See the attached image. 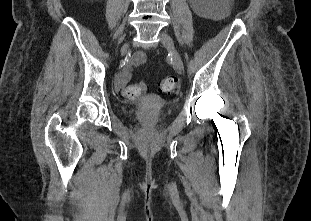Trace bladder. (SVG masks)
<instances>
[{
    "label": "bladder",
    "mask_w": 311,
    "mask_h": 221,
    "mask_svg": "<svg viewBox=\"0 0 311 221\" xmlns=\"http://www.w3.org/2000/svg\"><path fill=\"white\" fill-rule=\"evenodd\" d=\"M143 102L139 104L138 108L141 110H155L157 107L153 105L154 98L151 94L142 95ZM164 121V116L161 114L154 115L149 118L147 123L150 125H159Z\"/></svg>",
    "instance_id": "1"
}]
</instances>
